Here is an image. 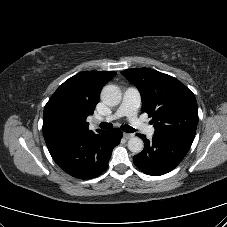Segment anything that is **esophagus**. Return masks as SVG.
<instances>
[{
	"label": "esophagus",
	"mask_w": 227,
	"mask_h": 227,
	"mask_svg": "<svg viewBox=\"0 0 227 227\" xmlns=\"http://www.w3.org/2000/svg\"><path fill=\"white\" fill-rule=\"evenodd\" d=\"M123 137L126 139H130V138L134 137V134L133 133H123Z\"/></svg>",
	"instance_id": "obj_1"
}]
</instances>
